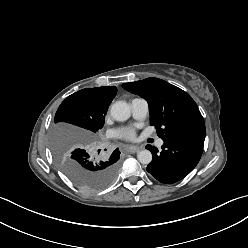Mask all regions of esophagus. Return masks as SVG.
<instances>
[{"mask_svg": "<svg viewBox=\"0 0 248 248\" xmlns=\"http://www.w3.org/2000/svg\"><path fill=\"white\" fill-rule=\"evenodd\" d=\"M141 148L139 146L131 145L127 147L128 152L135 153L138 152Z\"/></svg>", "mask_w": 248, "mask_h": 248, "instance_id": "esophagus-1", "label": "esophagus"}]
</instances>
